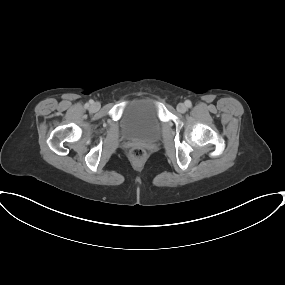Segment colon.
Here are the masks:
<instances>
[{"label":"colon","instance_id":"colon-1","mask_svg":"<svg viewBox=\"0 0 285 285\" xmlns=\"http://www.w3.org/2000/svg\"><path fill=\"white\" fill-rule=\"evenodd\" d=\"M130 155L133 159L142 160L145 157L146 152L142 147L137 146L131 149Z\"/></svg>","mask_w":285,"mask_h":285}]
</instances>
